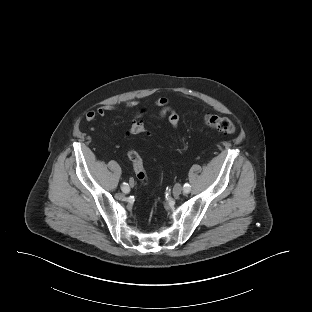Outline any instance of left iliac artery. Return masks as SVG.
Masks as SVG:
<instances>
[{
    "instance_id": "1",
    "label": "left iliac artery",
    "mask_w": 312,
    "mask_h": 312,
    "mask_svg": "<svg viewBox=\"0 0 312 312\" xmlns=\"http://www.w3.org/2000/svg\"><path fill=\"white\" fill-rule=\"evenodd\" d=\"M183 190L185 193H188L190 191V185L188 183H185L183 186Z\"/></svg>"
}]
</instances>
